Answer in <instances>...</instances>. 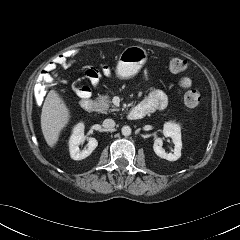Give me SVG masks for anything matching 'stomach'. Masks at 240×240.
<instances>
[{
	"label": "stomach",
	"instance_id": "0dacf381",
	"mask_svg": "<svg viewBox=\"0 0 240 240\" xmlns=\"http://www.w3.org/2000/svg\"><path fill=\"white\" fill-rule=\"evenodd\" d=\"M147 60L148 54L145 49L139 46H129L119 56L116 75L121 79H129L139 72Z\"/></svg>",
	"mask_w": 240,
	"mask_h": 240
}]
</instances>
